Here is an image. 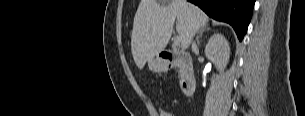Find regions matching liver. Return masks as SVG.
<instances>
[{
  "instance_id": "1",
  "label": "liver",
  "mask_w": 305,
  "mask_h": 116,
  "mask_svg": "<svg viewBox=\"0 0 305 116\" xmlns=\"http://www.w3.org/2000/svg\"><path fill=\"white\" fill-rule=\"evenodd\" d=\"M208 16L186 0H141L134 17L131 51L135 64L143 69L146 62L158 56L167 46L176 20L181 48L187 49Z\"/></svg>"
}]
</instances>
